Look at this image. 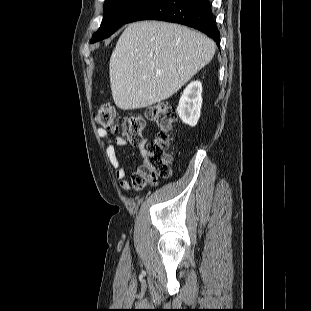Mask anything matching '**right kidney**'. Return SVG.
<instances>
[{
	"label": "right kidney",
	"mask_w": 311,
	"mask_h": 311,
	"mask_svg": "<svg viewBox=\"0 0 311 311\" xmlns=\"http://www.w3.org/2000/svg\"><path fill=\"white\" fill-rule=\"evenodd\" d=\"M202 84L200 81H192L184 89L179 100L177 112L183 123L195 126L200 118L202 106Z\"/></svg>",
	"instance_id": "right-kidney-1"
}]
</instances>
